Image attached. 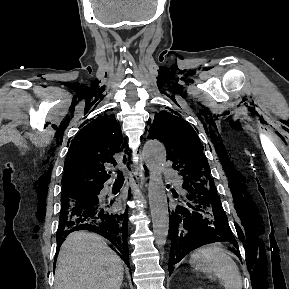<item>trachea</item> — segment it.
<instances>
[{"mask_svg":"<svg viewBox=\"0 0 289 289\" xmlns=\"http://www.w3.org/2000/svg\"><path fill=\"white\" fill-rule=\"evenodd\" d=\"M117 174H118L117 181H124V175L122 171H118Z\"/></svg>","mask_w":289,"mask_h":289,"instance_id":"trachea-1","label":"trachea"}]
</instances>
